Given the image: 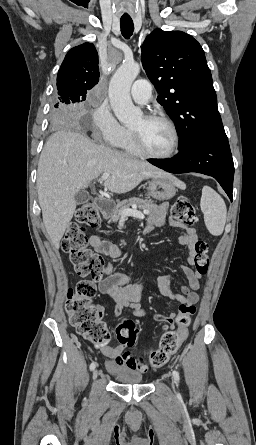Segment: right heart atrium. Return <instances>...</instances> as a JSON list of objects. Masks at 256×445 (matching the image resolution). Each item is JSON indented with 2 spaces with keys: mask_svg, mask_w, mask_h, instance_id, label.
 I'll use <instances>...</instances> for the list:
<instances>
[{
  "mask_svg": "<svg viewBox=\"0 0 256 445\" xmlns=\"http://www.w3.org/2000/svg\"><path fill=\"white\" fill-rule=\"evenodd\" d=\"M93 134L103 143L117 145L125 134V128L118 122L105 101L96 104L92 113Z\"/></svg>",
  "mask_w": 256,
  "mask_h": 445,
  "instance_id": "obj_1",
  "label": "right heart atrium"
}]
</instances>
